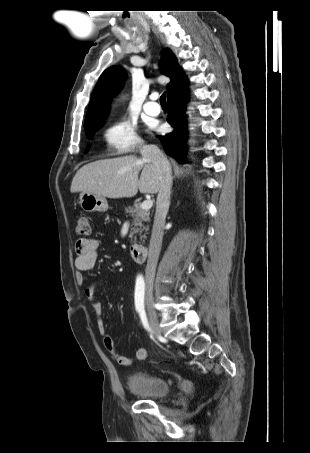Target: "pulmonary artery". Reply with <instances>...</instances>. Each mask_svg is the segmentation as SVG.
Segmentation results:
<instances>
[{
    "mask_svg": "<svg viewBox=\"0 0 310 453\" xmlns=\"http://www.w3.org/2000/svg\"><path fill=\"white\" fill-rule=\"evenodd\" d=\"M157 98L156 94H152L149 97V100L144 104L143 110L151 116H157L160 113V107L155 103Z\"/></svg>",
    "mask_w": 310,
    "mask_h": 453,
    "instance_id": "1",
    "label": "pulmonary artery"
}]
</instances>
